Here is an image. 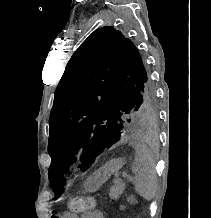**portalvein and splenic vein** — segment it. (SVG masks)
<instances>
[{"instance_id":"obj_1","label":"portal vein and splenic vein","mask_w":211,"mask_h":218,"mask_svg":"<svg viewBox=\"0 0 211 218\" xmlns=\"http://www.w3.org/2000/svg\"><path fill=\"white\" fill-rule=\"evenodd\" d=\"M123 178H127L126 172H123Z\"/></svg>"}]
</instances>
